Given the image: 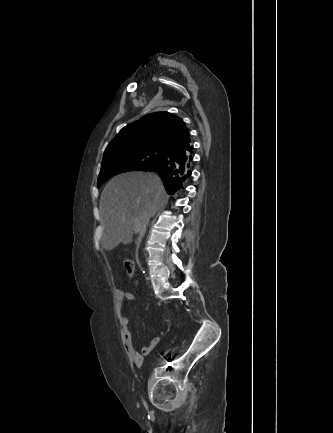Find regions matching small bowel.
<instances>
[{"instance_id":"obj_1","label":"small bowel","mask_w":333,"mask_h":433,"mask_svg":"<svg viewBox=\"0 0 333 433\" xmlns=\"http://www.w3.org/2000/svg\"><path fill=\"white\" fill-rule=\"evenodd\" d=\"M117 296L121 303L130 302L135 299V295L128 291L120 290L118 291ZM119 323L121 326L122 343L128 357L134 365L141 366L145 356H147L159 344L160 338L154 337L149 345L143 346L141 350L138 351L134 346L132 334L129 330V319L123 310L120 311Z\"/></svg>"}]
</instances>
